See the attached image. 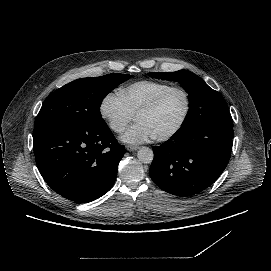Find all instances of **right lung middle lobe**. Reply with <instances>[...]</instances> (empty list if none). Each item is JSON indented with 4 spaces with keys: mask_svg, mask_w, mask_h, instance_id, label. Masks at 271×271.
Wrapping results in <instances>:
<instances>
[{
    "mask_svg": "<svg viewBox=\"0 0 271 271\" xmlns=\"http://www.w3.org/2000/svg\"><path fill=\"white\" fill-rule=\"evenodd\" d=\"M131 75L108 74L74 80L54 91L45 100L35 125L50 121L91 125L104 122L99 107L104 97Z\"/></svg>",
    "mask_w": 271,
    "mask_h": 271,
    "instance_id": "dd1d6c3e",
    "label": "right lung middle lobe"
}]
</instances>
